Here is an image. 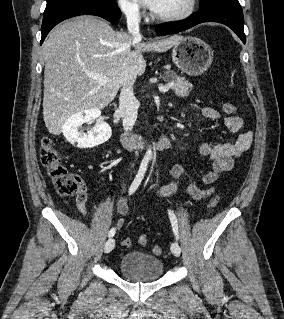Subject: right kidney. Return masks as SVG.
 <instances>
[{
    "label": "right kidney",
    "mask_w": 284,
    "mask_h": 319,
    "mask_svg": "<svg viewBox=\"0 0 284 319\" xmlns=\"http://www.w3.org/2000/svg\"><path fill=\"white\" fill-rule=\"evenodd\" d=\"M97 108L85 109L70 116L63 126L65 138L78 148H92L103 144L112 135L111 127L104 121H97L93 131L84 133L79 128L100 116Z\"/></svg>",
    "instance_id": "ca27d5eb"
}]
</instances>
